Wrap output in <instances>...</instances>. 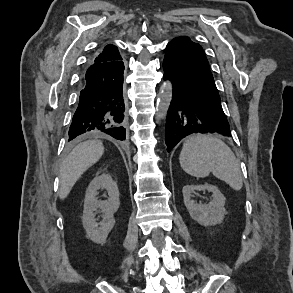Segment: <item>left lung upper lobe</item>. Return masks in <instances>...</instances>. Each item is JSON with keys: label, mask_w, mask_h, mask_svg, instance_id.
Wrapping results in <instances>:
<instances>
[{"label": "left lung upper lobe", "mask_w": 293, "mask_h": 293, "mask_svg": "<svg viewBox=\"0 0 293 293\" xmlns=\"http://www.w3.org/2000/svg\"><path fill=\"white\" fill-rule=\"evenodd\" d=\"M172 41H176L180 44L190 67L196 71L206 83L216 88L208 60L202 47L199 44L192 42L187 36L177 37Z\"/></svg>", "instance_id": "5c2ea615"}]
</instances>
